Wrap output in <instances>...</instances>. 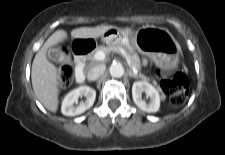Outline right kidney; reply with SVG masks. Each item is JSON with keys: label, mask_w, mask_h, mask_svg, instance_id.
<instances>
[{"label": "right kidney", "mask_w": 225, "mask_h": 155, "mask_svg": "<svg viewBox=\"0 0 225 155\" xmlns=\"http://www.w3.org/2000/svg\"><path fill=\"white\" fill-rule=\"evenodd\" d=\"M82 96L86 97V101L82 102L78 106H75L74 104L77 103L78 98ZM95 98L96 91L93 88L81 86L65 96L62 102L61 111L66 116H76L82 114L93 105Z\"/></svg>", "instance_id": "ca27d5eb"}]
</instances>
